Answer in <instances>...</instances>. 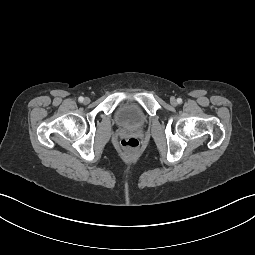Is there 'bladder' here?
<instances>
[{"instance_id":"31cf9c89","label":"bladder","mask_w":255,"mask_h":255,"mask_svg":"<svg viewBox=\"0 0 255 255\" xmlns=\"http://www.w3.org/2000/svg\"><path fill=\"white\" fill-rule=\"evenodd\" d=\"M115 119L119 125L129 128H139L146 121L142 111L132 103L120 105L116 111Z\"/></svg>"}]
</instances>
